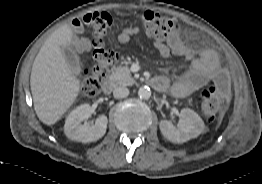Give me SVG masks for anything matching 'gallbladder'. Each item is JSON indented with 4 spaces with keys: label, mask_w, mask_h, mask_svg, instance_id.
<instances>
[{
    "label": "gallbladder",
    "mask_w": 262,
    "mask_h": 184,
    "mask_svg": "<svg viewBox=\"0 0 262 184\" xmlns=\"http://www.w3.org/2000/svg\"><path fill=\"white\" fill-rule=\"evenodd\" d=\"M63 53L65 60L74 74H79L81 71L80 58L71 48H64Z\"/></svg>",
    "instance_id": "bac80fb5"
}]
</instances>
